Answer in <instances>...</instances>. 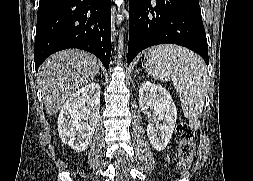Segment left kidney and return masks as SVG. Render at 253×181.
<instances>
[{"label":"left kidney","mask_w":253,"mask_h":181,"mask_svg":"<svg viewBox=\"0 0 253 181\" xmlns=\"http://www.w3.org/2000/svg\"><path fill=\"white\" fill-rule=\"evenodd\" d=\"M139 107L143 111L153 110L152 121L146 129L147 135L155 150H164L172 137L177 119L176 106L170 93L161 85L145 81L139 89Z\"/></svg>","instance_id":"1"}]
</instances>
